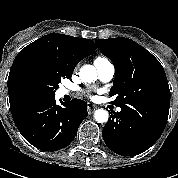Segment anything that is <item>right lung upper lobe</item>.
<instances>
[{
    "mask_svg": "<svg viewBox=\"0 0 178 178\" xmlns=\"http://www.w3.org/2000/svg\"><path fill=\"white\" fill-rule=\"evenodd\" d=\"M97 49L90 39L64 34L44 35L23 48L16 56L8 77L9 101L19 98L14 85V76L18 65L28 58H40L50 62L65 72L73 73L75 66Z\"/></svg>",
    "mask_w": 178,
    "mask_h": 178,
    "instance_id": "obj_1",
    "label": "right lung upper lobe"
}]
</instances>
